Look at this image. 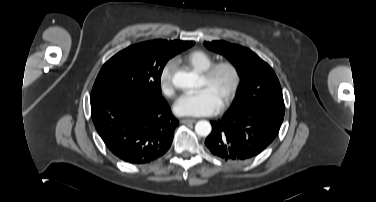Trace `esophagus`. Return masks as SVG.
<instances>
[{
  "instance_id": "1",
  "label": "esophagus",
  "mask_w": 376,
  "mask_h": 202,
  "mask_svg": "<svg viewBox=\"0 0 376 202\" xmlns=\"http://www.w3.org/2000/svg\"><path fill=\"white\" fill-rule=\"evenodd\" d=\"M195 121H196L195 119H190V118H184L181 120V122L184 124L194 123Z\"/></svg>"
}]
</instances>
